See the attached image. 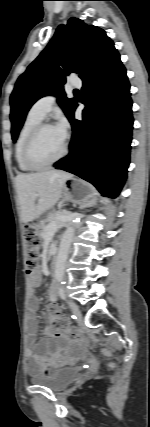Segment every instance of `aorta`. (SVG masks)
Instances as JSON below:
<instances>
[{
	"instance_id": "obj_1",
	"label": "aorta",
	"mask_w": 150,
	"mask_h": 427,
	"mask_svg": "<svg viewBox=\"0 0 150 427\" xmlns=\"http://www.w3.org/2000/svg\"><path fill=\"white\" fill-rule=\"evenodd\" d=\"M74 232H75V225L74 223H70L61 238V242H60V246H59V250L56 258L55 273H54L55 279L58 281H61L64 277V271L66 267L70 246L73 240Z\"/></svg>"
}]
</instances>
